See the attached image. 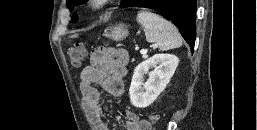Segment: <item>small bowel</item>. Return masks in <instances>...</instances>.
<instances>
[{
  "label": "small bowel",
  "instance_id": "c3829d8e",
  "mask_svg": "<svg viewBox=\"0 0 257 130\" xmlns=\"http://www.w3.org/2000/svg\"><path fill=\"white\" fill-rule=\"evenodd\" d=\"M128 54L122 49L101 47L90 56V64L80 73V90L84 105L97 130H112L105 120V109L99 85L111 96L119 97L124 92V78L127 75ZM125 130H150L148 121L140 119L130 110L126 111Z\"/></svg>",
  "mask_w": 257,
  "mask_h": 130
}]
</instances>
